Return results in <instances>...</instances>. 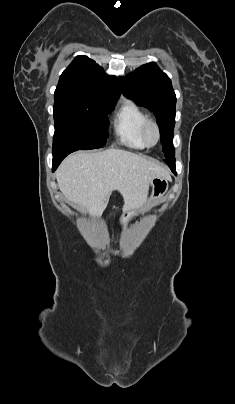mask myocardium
<instances>
[{"label": "myocardium", "instance_id": "obj_1", "mask_svg": "<svg viewBox=\"0 0 235 404\" xmlns=\"http://www.w3.org/2000/svg\"><path fill=\"white\" fill-rule=\"evenodd\" d=\"M149 130H153L155 132V141L153 143H151L147 137ZM160 137H161L160 128L157 122L152 119H147L146 122L143 124L141 130V138L144 145L146 147H154L159 143Z\"/></svg>", "mask_w": 235, "mask_h": 404}]
</instances>
